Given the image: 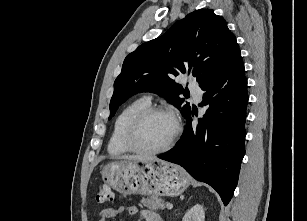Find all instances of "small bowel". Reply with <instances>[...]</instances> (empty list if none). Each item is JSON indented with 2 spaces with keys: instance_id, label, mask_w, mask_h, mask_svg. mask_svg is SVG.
Here are the masks:
<instances>
[{
  "instance_id": "small-bowel-1",
  "label": "small bowel",
  "mask_w": 307,
  "mask_h": 221,
  "mask_svg": "<svg viewBox=\"0 0 307 221\" xmlns=\"http://www.w3.org/2000/svg\"><path fill=\"white\" fill-rule=\"evenodd\" d=\"M122 213L135 215L138 213V208L135 205L106 208L100 212L98 221H108V219L116 218ZM141 215L145 221H163L162 217L153 210L144 209L141 211Z\"/></svg>"
}]
</instances>
